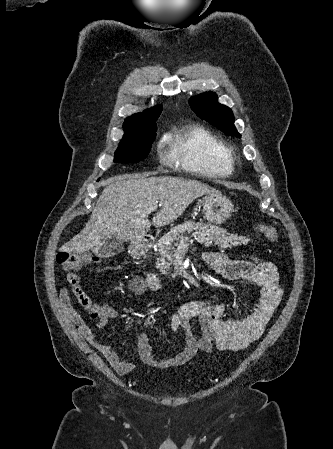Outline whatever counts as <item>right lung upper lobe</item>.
<instances>
[{"label":"right lung upper lobe","instance_id":"1","mask_svg":"<svg viewBox=\"0 0 333 449\" xmlns=\"http://www.w3.org/2000/svg\"><path fill=\"white\" fill-rule=\"evenodd\" d=\"M162 106H156L152 109L145 110L143 113H137L128 117L123 125L124 135L122 140H132L142 137V130L145 123L152 118L160 115Z\"/></svg>","mask_w":333,"mask_h":449}]
</instances>
